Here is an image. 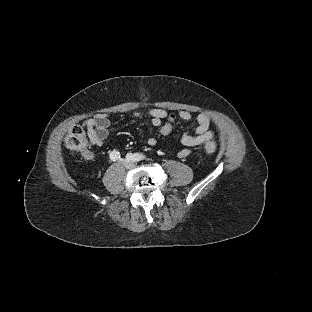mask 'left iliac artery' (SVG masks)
<instances>
[{
    "instance_id": "obj_1",
    "label": "left iliac artery",
    "mask_w": 312,
    "mask_h": 312,
    "mask_svg": "<svg viewBox=\"0 0 312 312\" xmlns=\"http://www.w3.org/2000/svg\"><path fill=\"white\" fill-rule=\"evenodd\" d=\"M135 155H136V159H137V160H142V159L144 158V156L137 155V154H135Z\"/></svg>"
}]
</instances>
